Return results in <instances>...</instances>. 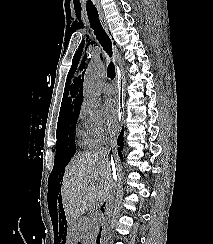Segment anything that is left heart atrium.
Here are the masks:
<instances>
[{
    "label": "left heart atrium",
    "mask_w": 213,
    "mask_h": 244,
    "mask_svg": "<svg viewBox=\"0 0 213 244\" xmlns=\"http://www.w3.org/2000/svg\"><path fill=\"white\" fill-rule=\"evenodd\" d=\"M105 115L108 124L113 127L120 119V103L115 98H108L104 102Z\"/></svg>",
    "instance_id": "1"
}]
</instances>
